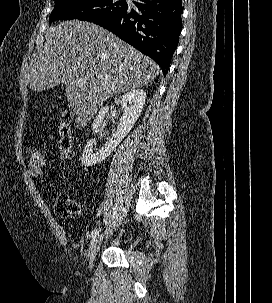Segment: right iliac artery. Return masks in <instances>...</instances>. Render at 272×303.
<instances>
[{"instance_id": "right-iliac-artery-1", "label": "right iliac artery", "mask_w": 272, "mask_h": 303, "mask_svg": "<svg viewBox=\"0 0 272 303\" xmlns=\"http://www.w3.org/2000/svg\"><path fill=\"white\" fill-rule=\"evenodd\" d=\"M100 230H101V228H96V229H94V230L90 233L89 237H90V238L95 237V236L100 232Z\"/></svg>"}]
</instances>
